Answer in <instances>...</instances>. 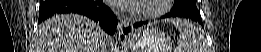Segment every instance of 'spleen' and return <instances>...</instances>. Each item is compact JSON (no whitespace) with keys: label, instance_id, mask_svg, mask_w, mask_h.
<instances>
[{"label":"spleen","instance_id":"obj_1","mask_svg":"<svg viewBox=\"0 0 261 52\" xmlns=\"http://www.w3.org/2000/svg\"><path fill=\"white\" fill-rule=\"evenodd\" d=\"M175 26L180 32L183 52H197L201 46L198 28L192 22L182 19H177Z\"/></svg>","mask_w":261,"mask_h":52}]
</instances>
